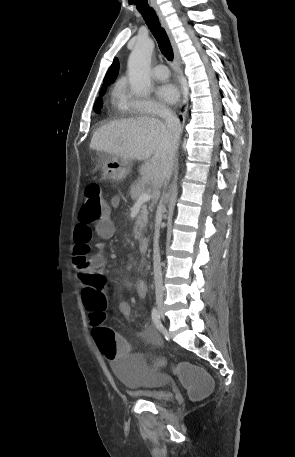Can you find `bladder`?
Instances as JSON below:
<instances>
[{"mask_svg": "<svg viewBox=\"0 0 295 457\" xmlns=\"http://www.w3.org/2000/svg\"><path fill=\"white\" fill-rule=\"evenodd\" d=\"M151 344V341H148ZM123 361L113 363V370L121 383L130 390L140 391L154 402L171 400V393L163 388L169 381L168 360H152L149 351L144 349ZM159 375L156 376V373Z\"/></svg>", "mask_w": 295, "mask_h": 457, "instance_id": "obj_1", "label": "bladder"}]
</instances>
